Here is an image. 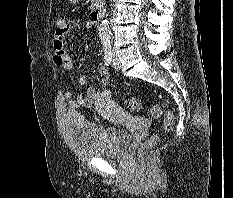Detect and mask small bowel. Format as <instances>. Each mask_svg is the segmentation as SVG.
Here are the masks:
<instances>
[{
  "instance_id": "c3829d8e",
  "label": "small bowel",
  "mask_w": 233,
  "mask_h": 198,
  "mask_svg": "<svg viewBox=\"0 0 233 198\" xmlns=\"http://www.w3.org/2000/svg\"><path fill=\"white\" fill-rule=\"evenodd\" d=\"M81 28L77 21H64L63 30L56 32L53 37V62L56 66L61 67L65 72H71L74 69L73 59L65 52L64 41L66 35ZM102 90H97L92 86L88 78L82 76L78 79L79 85L86 88V94H79L76 97L69 91L64 93V98L71 110L81 107L97 106L104 114H111L118 111V107L111 99V91L106 88L109 82V73L104 66H98Z\"/></svg>"
}]
</instances>
